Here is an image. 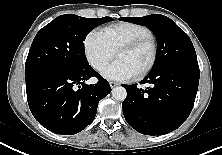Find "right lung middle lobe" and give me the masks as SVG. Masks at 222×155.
I'll return each instance as SVG.
<instances>
[{"mask_svg": "<svg viewBox=\"0 0 222 155\" xmlns=\"http://www.w3.org/2000/svg\"><path fill=\"white\" fill-rule=\"evenodd\" d=\"M111 17L84 18L64 14L35 36L25 63L26 81L51 71L73 72L89 66L84 43L87 34Z\"/></svg>", "mask_w": 222, "mask_h": 155, "instance_id": "dd1d6c3e", "label": "right lung middle lobe"}]
</instances>
